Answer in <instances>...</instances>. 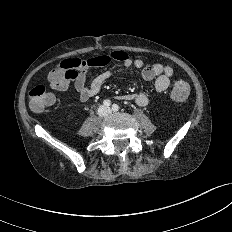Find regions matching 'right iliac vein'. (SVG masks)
Wrapping results in <instances>:
<instances>
[{
  "instance_id": "1",
  "label": "right iliac vein",
  "mask_w": 232,
  "mask_h": 232,
  "mask_svg": "<svg viewBox=\"0 0 232 232\" xmlns=\"http://www.w3.org/2000/svg\"><path fill=\"white\" fill-rule=\"evenodd\" d=\"M98 114L100 116H105L107 114V110L104 107H100L98 110Z\"/></svg>"
}]
</instances>
